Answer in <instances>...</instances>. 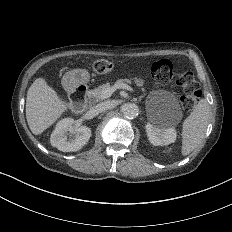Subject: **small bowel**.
Segmentation results:
<instances>
[{"mask_svg": "<svg viewBox=\"0 0 232 232\" xmlns=\"http://www.w3.org/2000/svg\"><path fill=\"white\" fill-rule=\"evenodd\" d=\"M134 80L139 86H141L143 84V82L140 78L135 77Z\"/></svg>", "mask_w": 232, "mask_h": 232, "instance_id": "small-bowel-1", "label": "small bowel"}]
</instances>
